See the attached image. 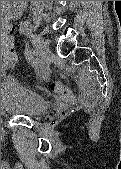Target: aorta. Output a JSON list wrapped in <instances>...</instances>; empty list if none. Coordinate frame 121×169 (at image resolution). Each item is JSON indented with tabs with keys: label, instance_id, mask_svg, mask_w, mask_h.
Instances as JSON below:
<instances>
[{
	"label": "aorta",
	"instance_id": "1",
	"mask_svg": "<svg viewBox=\"0 0 121 169\" xmlns=\"http://www.w3.org/2000/svg\"><path fill=\"white\" fill-rule=\"evenodd\" d=\"M28 1H1V8L9 13L20 14L26 8Z\"/></svg>",
	"mask_w": 121,
	"mask_h": 169
}]
</instances>
